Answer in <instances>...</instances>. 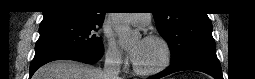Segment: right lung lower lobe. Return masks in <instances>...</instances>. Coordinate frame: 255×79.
I'll use <instances>...</instances> for the list:
<instances>
[{"label": "right lung lower lobe", "instance_id": "right-lung-lower-lobe-1", "mask_svg": "<svg viewBox=\"0 0 255 79\" xmlns=\"http://www.w3.org/2000/svg\"><path fill=\"white\" fill-rule=\"evenodd\" d=\"M103 51L99 53H92L88 51H75L67 49H49L35 53L34 59L30 65V76L32 77L34 72L42 65L60 59H68L80 61L88 64L96 63L101 59Z\"/></svg>", "mask_w": 255, "mask_h": 79}]
</instances>
